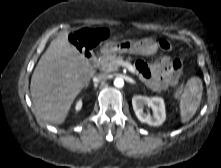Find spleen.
Wrapping results in <instances>:
<instances>
[{"label":"spleen","mask_w":221,"mask_h":168,"mask_svg":"<svg viewBox=\"0 0 221 168\" xmlns=\"http://www.w3.org/2000/svg\"><path fill=\"white\" fill-rule=\"evenodd\" d=\"M203 84L199 77L188 80L180 100V116L182 123L188 122L196 113L202 98Z\"/></svg>","instance_id":"obj_1"}]
</instances>
